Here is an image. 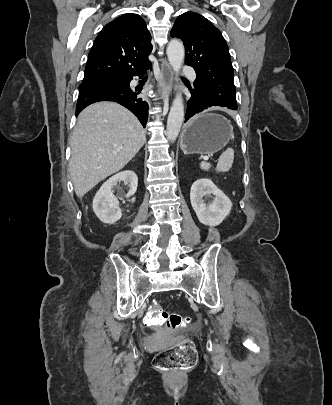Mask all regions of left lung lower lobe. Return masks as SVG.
<instances>
[{"instance_id":"0a47b994","label":"left lung lower lobe","mask_w":332,"mask_h":405,"mask_svg":"<svg viewBox=\"0 0 332 405\" xmlns=\"http://www.w3.org/2000/svg\"><path fill=\"white\" fill-rule=\"evenodd\" d=\"M208 107L212 106L208 105L207 100L202 95L196 94L191 90V98L187 103L185 122L193 115L202 112Z\"/></svg>"}]
</instances>
